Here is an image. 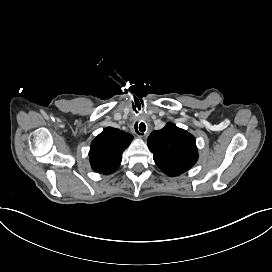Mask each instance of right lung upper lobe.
Here are the masks:
<instances>
[{
    "label": "right lung upper lobe",
    "instance_id": "right-lung-upper-lobe-1",
    "mask_svg": "<svg viewBox=\"0 0 272 272\" xmlns=\"http://www.w3.org/2000/svg\"><path fill=\"white\" fill-rule=\"evenodd\" d=\"M132 139L129 133L107 127L91 143L89 157L92 169L104 175L116 171L122 161V153Z\"/></svg>",
    "mask_w": 272,
    "mask_h": 272
}]
</instances>
